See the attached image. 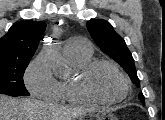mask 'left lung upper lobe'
Returning a JSON list of instances; mask_svg holds the SVG:
<instances>
[{"label": "left lung upper lobe", "instance_id": "obj_1", "mask_svg": "<svg viewBox=\"0 0 165 120\" xmlns=\"http://www.w3.org/2000/svg\"><path fill=\"white\" fill-rule=\"evenodd\" d=\"M87 29L100 49L119 63L126 70L132 82L140 87L133 57L125 41L115 32L112 25L106 20L94 19L87 22ZM139 98L145 104L142 93H139Z\"/></svg>", "mask_w": 165, "mask_h": 120}]
</instances>
